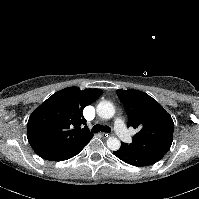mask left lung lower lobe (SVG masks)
Instances as JSON below:
<instances>
[{
    "instance_id": "obj_1",
    "label": "left lung lower lobe",
    "mask_w": 199,
    "mask_h": 199,
    "mask_svg": "<svg viewBox=\"0 0 199 199\" xmlns=\"http://www.w3.org/2000/svg\"><path fill=\"white\" fill-rule=\"evenodd\" d=\"M113 154L120 160L134 166H149L159 161L153 156L130 149L122 142L121 147L114 151Z\"/></svg>"
}]
</instances>
